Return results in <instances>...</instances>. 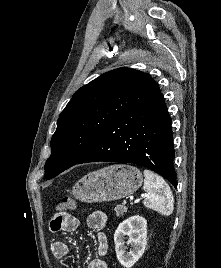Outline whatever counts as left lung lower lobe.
Masks as SVG:
<instances>
[{
	"label": "left lung lower lobe",
	"instance_id": "0a47b994",
	"mask_svg": "<svg viewBox=\"0 0 221 268\" xmlns=\"http://www.w3.org/2000/svg\"><path fill=\"white\" fill-rule=\"evenodd\" d=\"M171 118L160 93L117 118L76 164L111 161L145 166L176 184Z\"/></svg>",
	"mask_w": 221,
	"mask_h": 268
}]
</instances>
